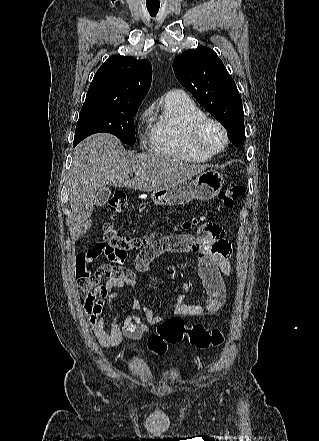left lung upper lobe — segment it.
Returning <instances> with one entry per match:
<instances>
[{"instance_id":"obj_1","label":"left lung upper lobe","mask_w":319,"mask_h":441,"mask_svg":"<svg viewBox=\"0 0 319 441\" xmlns=\"http://www.w3.org/2000/svg\"><path fill=\"white\" fill-rule=\"evenodd\" d=\"M177 80L213 115L234 138L236 146L244 142V112L236 84L222 61L210 48L200 46L175 57Z\"/></svg>"}]
</instances>
